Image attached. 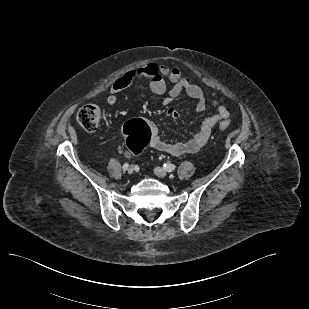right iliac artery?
<instances>
[{"label": "right iliac artery", "mask_w": 309, "mask_h": 309, "mask_svg": "<svg viewBox=\"0 0 309 309\" xmlns=\"http://www.w3.org/2000/svg\"><path fill=\"white\" fill-rule=\"evenodd\" d=\"M128 167H129V164L125 163L122 168H123L124 171H126L128 169Z\"/></svg>", "instance_id": "82829eb1"}]
</instances>
